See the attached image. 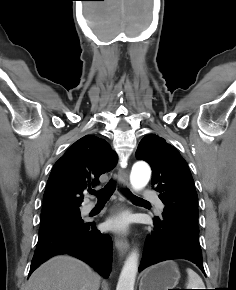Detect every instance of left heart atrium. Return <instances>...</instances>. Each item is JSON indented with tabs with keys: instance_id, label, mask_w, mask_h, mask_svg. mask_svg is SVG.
<instances>
[{
	"instance_id": "39dd6f15",
	"label": "left heart atrium",
	"mask_w": 236,
	"mask_h": 290,
	"mask_svg": "<svg viewBox=\"0 0 236 290\" xmlns=\"http://www.w3.org/2000/svg\"><path fill=\"white\" fill-rule=\"evenodd\" d=\"M130 223V219L126 214H117L107 221V227L114 231H126Z\"/></svg>"
}]
</instances>
